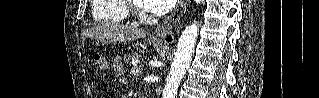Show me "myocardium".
<instances>
[{"label": "myocardium", "mask_w": 319, "mask_h": 98, "mask_svg": "<svg viewBox=\"0 0 319 98\" xmlns=\"http://www.w3.org/2000/svg\"><path fill=\"white\" fill-rule=\"evenodd\" d=\"M126 2H127L128 7H129V11L132 15L138 16L142 13L141 9H140V5L138 4L137 1L128 0Z\"/></svg>", "instance_id": "f54148a6"}]
</instances>
